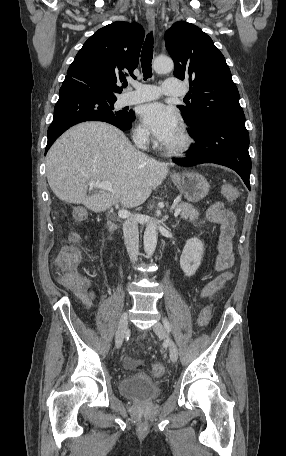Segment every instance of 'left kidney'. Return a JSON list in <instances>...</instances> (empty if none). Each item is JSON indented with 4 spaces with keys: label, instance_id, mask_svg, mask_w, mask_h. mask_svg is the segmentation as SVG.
Here are the masks:
<instances>
[{
    "label": "left kidney",
    "instance_id": "1",
    "mask_svg": "<svg viewBox=\"0 0 286 456\" xmlns=\"http://www.w3.org/2000/svg\"><path fill=\"white\" fill-rule=\"evenodd\" d=\"M204 253V244L198 238L188 239L180 256V267L188 277L199 268Z\"/></svg>",
    "mask_w": 286,
    "mask_h": 456
}]
</instances>
